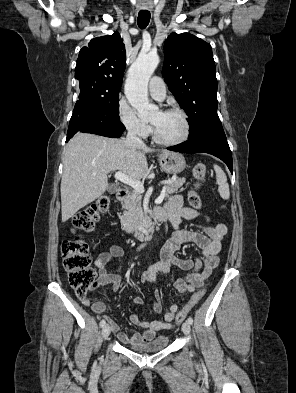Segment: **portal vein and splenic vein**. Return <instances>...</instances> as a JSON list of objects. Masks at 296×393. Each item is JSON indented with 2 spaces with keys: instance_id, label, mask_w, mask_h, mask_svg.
Masks as SVG:
<instances>
[{
  "instance_id": "portal-vein-and-splenic-vein-1",
  "label": "portal vein and splenic vein",
  "mask_w": 296,
  "mask_h": 393,
  "mask_svg": "<svg viewBox=\"0 0 296 393\" xmlns=\"http://www.w3.org/2000/svg\"><path fill=\"white\" fill-rule=\"evenodd\" d=\"M114 177H115V179L131 186L135 191H137L141 194L144 193V191H145L144 185L140 181L123 174L121 171L116 172ZM164 197H165V187L163 188V191L161 192L160 196L156 199V201L160 202L163 200Z\"/></svg>"
}]
</instances>
